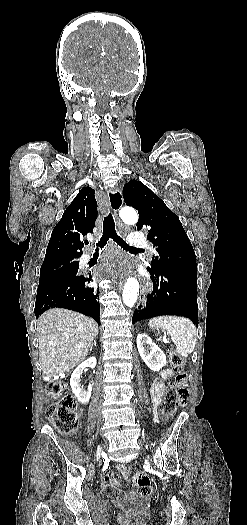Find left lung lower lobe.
I'll list each match as a JSON object with an SVG mask.
<instances>
[{"label":"left lung lower lobe","mask_w":247,"mask_h":525,"mask_svg":"<svg viewBox=\"0 0 247 525\" xmlns=\"http://www.w3.org/2000/svg\"><path fill=\"white\" fill-rule=\"evenodd\" d=\"M153 291L144 308L135 310L132 323L162 315L188 317L198 325L197 278L149 271Z\"/></svg>","instance_id":"left-lung-lower-lobe-1"}]
</instances>
